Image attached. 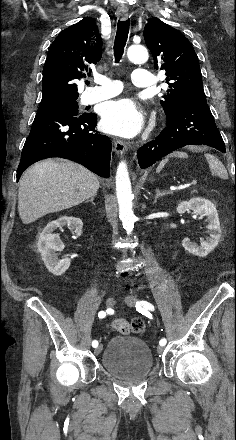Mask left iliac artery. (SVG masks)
Returning a JSON list of instances; mask_svg holds the SVG:
<instances>
[{"label":"left iliac artery","instance_id":"44dca946","mask_svg":"<svg viewBox=\"0 0 236 440\" xmlns=\"http://www.w3.org/2000/svg\"><path fill=\"white\" fill-rule=\"evenodd\" d=\"M135 307H136L137 311H139L140 313H142L145 316L149 315L147 310H151V311L154 310V306L151 303L147 302V301H137ZM166 343H167V341H166L165 338H162L159 341V344L161 346H165Z\"/></svg>","mask_w":236,"mask_h":440}]
</instances>
